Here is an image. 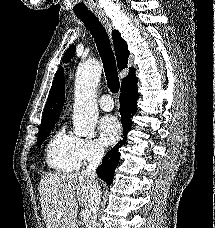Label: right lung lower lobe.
<instances>
[{"instance_id":"right-lung-lower-lobe-1","label":"right lung lower lobe","mask_w":215,"mask_h":228,"mask_svg":"<svg viewBox=\"0 0 215 228\" xmlns=\"http://www.w3.org/2000/svg\"><path fill=\"white\" fill-rule=\"evenodd\" d=\"M137 78L134 74L126 76L121 82L120 114L123 125V138L103 158V164L96 172L108 185L112 184L115 169L118 165L120 154L119 147L126 143V136L132 125V116L137 112Z\"/></svg>"}]
</instances>
